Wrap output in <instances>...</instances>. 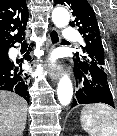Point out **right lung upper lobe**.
Listing matches in <instances>:
<instances>
[{
    "mask_svg": "<svg viewBox=\"0 0 117 136\" xmlns=\"http://www.w3.org/2000/svg\"><path fill=\"white\" fill-rule=\"evenodd\" d=\"M28 16L25 0H0V54L23 40Z\"/></svg>",
    "mask_w": 117,
    "mask_h": 136,
    "instance_id": "cb5924a9",
    "label": "right lung upper lobe"
}]
</instances>
